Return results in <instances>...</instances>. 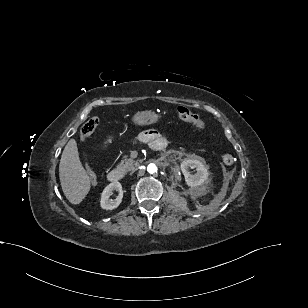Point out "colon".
<instances>
[{
  "instance_id": "colon-1",
  "label": "colon",
  "mask_w": 308,
  "mask_h": 308,
  "mask_svg": "<svg viewBox=\"0 0 308 308\" xmlns=\"http://www.w3.org/2000/svg\"><path fill=\"white\" fill-rule=\"evenodd\" d=\"M176 112L180 120L191 123L198 129L205 128V123L203 122V120L197 114L192 113L188 108L184 106H179L176 109ZM98 123L99 121L97 117H92L88 121H86L80 128L81 139H88L94 133L96 127L98 126ZM222 160L225 165L231 166L235 162V157L232 154L227 153L223 155ZM87 171L91 185L95 186L97 182L95 172L90 167H88Z\"/></svg>"
}]
</instances>
